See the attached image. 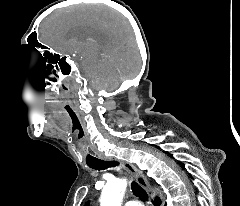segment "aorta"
Returning a JSON list of instances; mask_svg holds the SVG:
<instances>
[{"label": "aorta", "instance_id": "1", "mask_svg": "<svg viewBox=\"0 0 240 206\" xmlns=\"http://www.w3.org/2000/svg\"><path fill=\"white\" fill-rule=\"evenodd\" d=\"M127 188L125 179H113L108 181L102 190L100 206H121Z\"/></svg>", "mask_w": 240, "mask_h": 206}]
</instances>
